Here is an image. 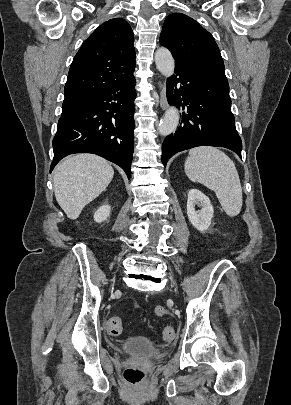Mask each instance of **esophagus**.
Listing matches in <instances>:
<instances>
[{
  "instance_id": "34e87169",
  "label": "esophagus",
  "mask_w": 291,
  "mask_h": 405,
  "mask_svg": "<svg viewBox=\"0 0 291 405\" xmlns=\"http://www.w3.org/2000/svg\"><path fill=\"white\" fill-rule=\"evenodd\" d=\"M159 103H160V107H161L163 110H165V109L167 108V99H166V97H165V94H164V90H163V89H162L161 92H160V100H159Z\"/></svg>"
}]
</instances>
